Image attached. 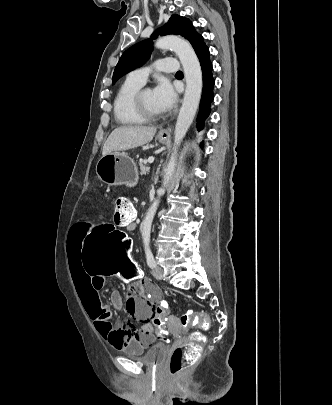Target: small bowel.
Here are the masks:
<instances>
[{"label":"small bowel","mask_w":332,"mask_h":405,"mask_svg":"<svg viewBox=\"0 0 332 405\" xmlns=\"http://www.w3.org/2000/svg\"><path fill=\"white\" fill-rule=\"evenodd\" d=\"M84 221H79L70 230L67 242V259L70 273L83 307L92 319L100 336L114 349H123L124 353H148V347H157V338L151 318L157 311L158 301L162 299L160 288H150L149 280L135 282L133 295L124 303V310L129 311L141 321V326L114 327L111 323V310L102 301L99 292L106 285L104 275H88L81 262L84 240ZM119 225H127L120 220ZM131 242V241H130ZM110 304L114 309L121 308L122 298L118 291L111 290Z\"/></svg>","instance_id":"small-bowel-1"}]
</instances>
